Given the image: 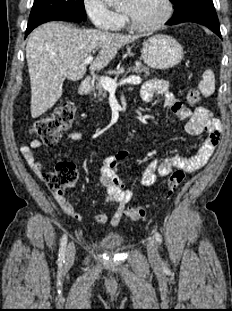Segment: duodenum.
<instances>
[{
    "instance_id": "410a0bca",
    "label": "duodenum",
    "mask_w": 232,
    "mask_h": 311,
    "mask_svg": "<svg viewBox=\"0 0 232 311\" xmlns=\"http://www.w3.org/2000/svg\"><path fill=\"white\" fill-rule=\"evenodd\" d=\"M91 87V79L90 78H84L81 82H80V86H79V93L81 95H85L89 92Z\"/></svg>"
}]
</instances>
